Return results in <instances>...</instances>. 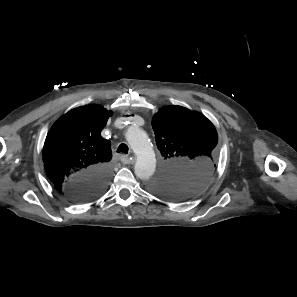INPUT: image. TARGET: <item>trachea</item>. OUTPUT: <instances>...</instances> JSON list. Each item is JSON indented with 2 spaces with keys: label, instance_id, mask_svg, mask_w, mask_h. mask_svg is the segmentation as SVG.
I'll use <instances>...</instances> for the list:
<instances>
[{
  "label": "trachea",
  "instance_id": "3493384b",
  "mask_svg": "<svg viewBox=\"0 0 297 297\" xmlns=\"http://www.w3.org/2000/svg\"><path fill=\"white\" fill-rule=\"evenodd\" d=\"M128 150H129L128 146L126 144L122 143L119 145L117 152L126 154V153H128Z\"/></svg>",
  "mask_w": 297,
  "mask_h": 297
}]
</instances>
